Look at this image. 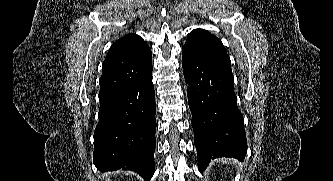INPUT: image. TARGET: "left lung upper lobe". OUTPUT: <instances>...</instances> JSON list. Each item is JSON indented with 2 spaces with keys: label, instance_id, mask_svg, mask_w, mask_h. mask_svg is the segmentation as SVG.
<instances>
[{
  "label": "left lung upper lobe",
  "instance_id": "5c2ea615",
  "mask_svg": "<svg viewBox=\"0 0 333 181\" xmlns=\"http://www.w3.org/2000/svg\"><path fill=\"white\" fill-rule=\"evenodd\" d=\"M202 59L218 64L231 70V61L222 42L214 35L203 29L193 30L183 46Z\"/></svg>",
  "mask_w": 333,
  "mask_h": 181
}]
</instances>
